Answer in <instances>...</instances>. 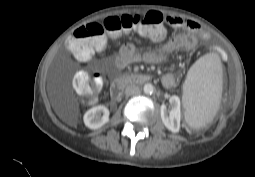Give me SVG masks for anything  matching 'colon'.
Masks as SVG:
<instances>
[{
    "label": "colon",
    "instance_id": "colon-1",
    "mask_svg": "<svg viewBox=\"0 0 255 177\" xmlns=\"http://www.w3.org/2000/svg\"><path fill=\"white\" fill-rule=\"evenodd\" d=\"M166 21L167 19L157 11L109 17L76 30L68 39L67 48L76 58L87 60L95 52L105 48L108 38L116 39L131 32H139L153 39L160 38ZM103 83L104 78L100 73L89 74L84 70L78 71L73 78L75 91L89 102L94 100Z\"/></svg>",
    "mask_w": 255,
    "mask_h": 177
}]
</instances>
